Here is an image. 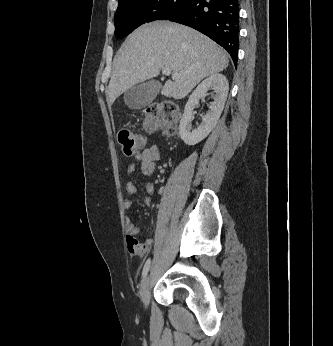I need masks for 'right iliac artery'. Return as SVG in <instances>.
<instances>
[{"mask_svg":"<svg viewBox=\"0 0 333 346\" xmlns=\"http://www.w3.org/2000/svg\"><path fill=\"white\" fill-rule=\"evenodd\" d=\"M150 263H151V260L150 258L146 261L144 267H143V271H142V277H145L149 271V268H150Z\"/></svg>","mask_w":333,"mask_h":346,"instance_id":"1","label":"right iliac artery"}]
</instances>
